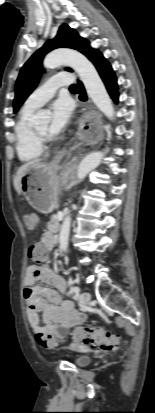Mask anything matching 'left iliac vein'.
Here are the masks:
<instances>
[{"label": "left iliac vein", "instance_id": "4c4485c4", "mask_svg": "<svg viewBox=\"0 0 155 413\" xmlns=\"http://www.w3.org/2000/svg\"><path fill=\"white\" fill-rule=\"evenodd\" d=\"M91 299V295L89 292L85 291L80 295V302L82 305H86L89 303Z\"/></svg>", "mask_w": 155, "mask_h": 413}]
</instances>
